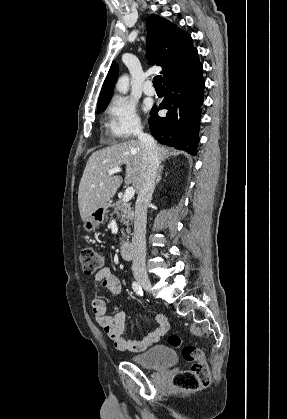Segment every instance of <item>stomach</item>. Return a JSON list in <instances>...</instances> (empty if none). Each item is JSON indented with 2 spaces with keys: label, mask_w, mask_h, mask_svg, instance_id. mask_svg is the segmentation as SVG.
<instances>
[{
  "label": "stomach",
  "mask_w": 287,
  "mask_h": 419,
  "mask_svg": "<svg viewBox=\"0 0 287 419\" xmlns=\"http://www.w3.org/2000/svg\"><path fill=\"white\" fill-rule=\"evenodd\" d=\"M108 207H109V204H107L105 207H101V208L96 209L84 221L83 228L87 232H91V231L95 230L100 224H102L104 222V219L106 218Z\"/></svg>",
  "instance_id": "stomach-1"
}]
</instances>
